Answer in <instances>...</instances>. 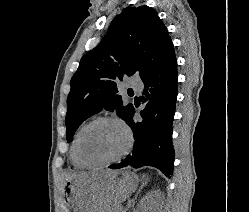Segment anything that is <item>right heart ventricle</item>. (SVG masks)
I'll list each match as a JSON object with an SVG mask.
<instances>
[{"instance_id":"1","label":"right heart ventricle","mask_w":249,"mask_h":212,"mask_svg":"<svg viewBox=\"0 0 249 212\" xmlns=\"http://www.w3.org/2000/svg\"><path fill=\"white\" fill-rule=\"evenodd\" d=\"M86 125V123L82 124L78 130L75 132L73 139L71 141L70 147H69V152H68V158H69V162L70 165L74 168V169H82L83 166L79 164V162L76 159L75 156V143L77 140L78 135L80 134L81 130L84 128V126Z\"/></svg>"}]
</instances>
